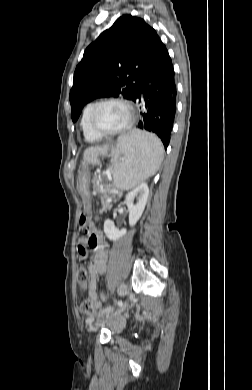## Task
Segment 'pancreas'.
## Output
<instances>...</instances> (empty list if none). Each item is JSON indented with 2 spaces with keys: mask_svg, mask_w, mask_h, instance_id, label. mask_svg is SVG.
<instances>
[{
  "mask_svg": "<svg viewBox=\"0 0 252 390\" xmlns=\"http://www.w3.org/2000/svg\"><path fill=\"white\" fill-rule=\"evenodd\" d=\"M101 203H102V210L111 209L112 207L111 202H101Z\"/></svg>",
  "mask_w": 252,
  "mask_h": 390,
  "instance_id": "obj_1",
  "label": "pancreas"
}]
</instances>
